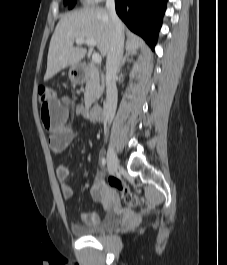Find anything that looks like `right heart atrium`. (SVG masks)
<instances>
[{
  "label": "right heart atrium",
  "mask_w": 227,
  "mask_h": 265,
  "mask_svg": "<svg viewBox=\"0 0 227 265\" xmlns=\"http://www.w3.org/2000/svg\"><path fill=\"white\" fill-rule=\"evenodd\" d=\"M87 1H89V2H93V3H97V2H100V1H102V0H87Z\"/></svg>",
  "instance_id": "obj_1"
}]
</instances>
